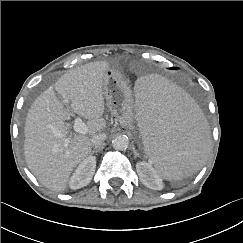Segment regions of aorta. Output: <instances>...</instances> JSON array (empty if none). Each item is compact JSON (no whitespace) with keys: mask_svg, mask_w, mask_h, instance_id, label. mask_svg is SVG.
Listing matches in <instances>:
<instances>
[{"mask_svg":"<svg viewBox=\"0 0 243 243\" xmlns=\"http://www.w3.org/2000/svg\"><path fill=\"white\" fill-rule=\"evenodd\" d=\"M129 140L125 135H118L112 140V145L116 150H126L128 148Z\"/></svg>","mask_w":243,"mask_h":243,"instance_id":"1","label":"aorta"}]
</instances>
